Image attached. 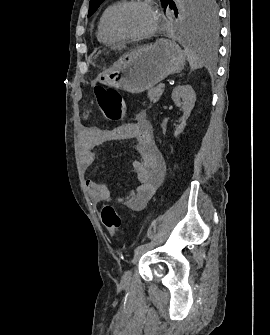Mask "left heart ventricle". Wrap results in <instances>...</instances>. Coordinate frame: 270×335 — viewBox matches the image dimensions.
Instances as JSON below:
<instances>
[{
	"instance_id": "obj_1",
	"label": "left heart ventricle",
	"mask_w": 270,
	"mask_h": 335,
	"mask_svg": "<svg viewBox=\"0 0 270 335\" xmlns=\"http://www.w3.org/2000/svg\"><path fill=\"white\" fill-rule=\"evenodd\" d=\"M152 16L138 5L127 6L119 15L118 24L126 32L131 34H142L147 32L153 25ZM148 52H159L151 50ZM139 78V77H135Z\"/></svg>"
}]
</instances>
